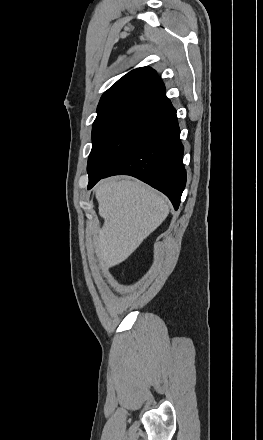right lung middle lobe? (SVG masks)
<instances>
[{
    "label": "right lung middle lobe",
    "instance_id": "right-lung-middle-lobe-1",
    "mask_svg": "<svg viewBox=\"0 0 263 440\" xmlns=\"http://www.w3.org/2000/svg\"><path fill=\"white\" fill-rule=\"evenodd\" d=\"M159 106L115 108L98 114L92 129L89 179L103 176L159 112Z\"/></svg>",
    "mask_w": 263,
    "mask_h": 440
}]
</instances>
